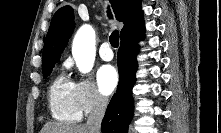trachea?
<instances>
[{
  "label": "trachea",
  "instance_id": "trachea-1",
  "mask_svg": "<svg viewBox=\"0 0 221 133\" xmlns=\"http://www.w3.org/2000/svg\"><path fill=\"white\" fill-rule=\"evenodd\" d=\"M108 16L112 17V14L110 13V10H108ZM109 41H110V43L113 47H115V48L118 47V45H119V33H118V31L115 30L114 32H112V34L109 38Z\"/></svg>",
  "mask_w": 221,
  "mask_h": 133
}]
</instances>
